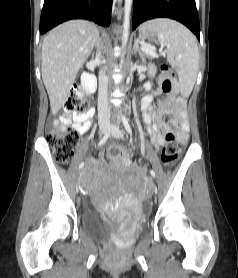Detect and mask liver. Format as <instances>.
I'll use <instances>...</instances> for the list:
<instances>
[{
  "label": "liver",
  "mask_w": 238,
  "mask_h": 278,
  "mask_svg": "<svg viewBox=\"0 0 238 278\" xmlns=\"http://www.w3.org/2000/svg\"><path fill=\"white\" fill-rule=\"evenodd\" d=\"M98 39L96 25L84 20L65 22L45 36L41 51V74L53 114L65 103L78 71Z\"/></svg>",
  "instance_id": "liver-1"
}]
</instances>
